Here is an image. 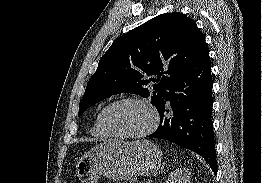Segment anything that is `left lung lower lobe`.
<instances>
[{
  "instance_id": "left-lung-lower-lobe-1",
  "label": "left lung lower lobe",
  "mask_w": 262,
  "mask_h": 183,
  "mask_svg": "<svg viewBox=\"0 0 262 183\" xmlns=\"http://www.w3.org/2000/svg\"><path fill=\"white\" fill-rule=\"evenodd\" d=\"M212 103L211 63L206 47L173 80L167 99L158 109L160 125L148 137L198 153L216 174Z\"/></svg>"
}]
</instances>
